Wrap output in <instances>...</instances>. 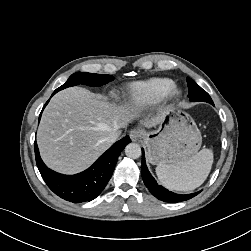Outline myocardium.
<instances>
[{
	"instance_id": "1",
	"label": "myocardium",
	"mask_w": 251,
	"mask_h": 251,
	"mask_svg": "<svg viewBox=\"0 0 251 251\" xmlns=\"http://www.w3.org/2000/svg\"><path fill=\"white\" fill-rule=\"evenodd\" d=\"M182 91L181 89L173 84L166 92L165 96H164V100L166 101H175L178 100L181 97Z\"/></svg>"
}]
</instances>
